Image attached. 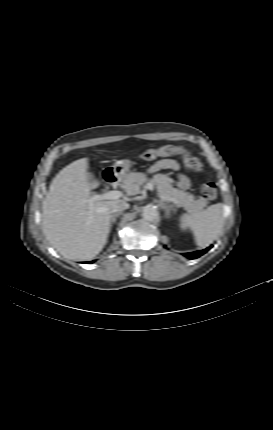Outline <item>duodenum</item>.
Masks as SVG:
<instances>
[{"label": "duodenum", "mask_w": 273, "mask_h": 430, "mask_svg": "<svg viewBox=\"0 0 273 430\" xmlns=\"http://www.w3.org/2000/svg\"><path fill=\"white\" fill-rule=\"evenodd\" d=\"M104 179H105V181L108 183V184H113V183H115L116 182V177H115V175L114 174H112V173H109V174H107V175H105V177H104Z\"/></svg>", "instance_id": "410a0bca"}]
</instances>
